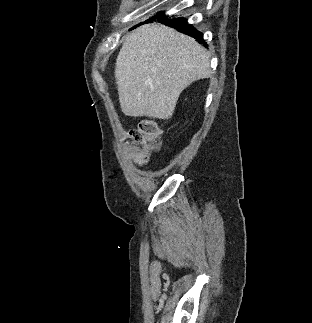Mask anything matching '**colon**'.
<instances>
[{
    "mask_svg": "<svg viewBox=\"0 0 312 323\" xmlns=\"http://www.w3.org/2000/svg\"><path fill=\"white\" fill-rule=\"evenodd\" d=\"M129 140L137 149V162L146 160L147 152L157 149L160 146V132L157 125L147 119H143L136 129L129 133ZM133 161L131 166L136 168L138 163Z\"/></svg>",
    "mask_w": 312,
    "mask_h": 323,
    "instance_id": "5ec220e1",
    "label": "colon"
}]
</instances>
